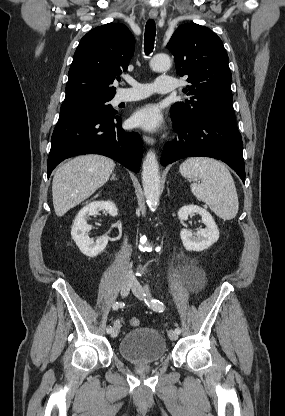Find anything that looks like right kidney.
I'll return each instance as SVG.
<instances>
[{"label": "right kidney", "instance_id": "obj_1", "mask_svg": "<svg viewBox=\"0 0 285 416\" xmlns=\"http://www.w3.org/2000/svg\"><path fill=\"white\" fill-rule=\"evenodd\" d=\"M100 210H105L110 216H118V210L113 202H91L78 212L71 230L72 240H74L80 252L84 256H89V258L98 256L108 244L107 236H101L94 242L93 238H89L87 234L89 230H92V226L87 224L88 216H95Z\"/></svg>", "mask_w": 285, "mask_h": 416}]
</instances>
